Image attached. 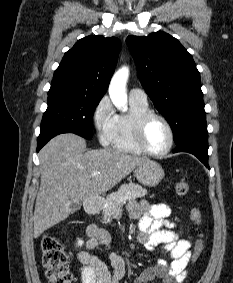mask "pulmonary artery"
Instances as JSON below:
<instances>
[{"label": "pulmonary artery", "mask_w": 233, "mask_h": 283, "mask_svg": "<svg viewBox=\"0 0 233 283\" xmlns=\"http://www.w3.org/2000/svg\"><path fill=\"white\" fill-rule=\"evenodd\" d=\"M129 100L141 104L148 103L146 93L138 88H133L129 91Z\"/></svg>", "instance_id": "obj_1"}]
</instances>
